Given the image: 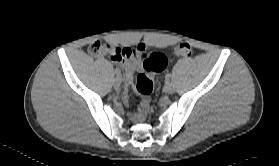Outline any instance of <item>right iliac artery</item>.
Here are the masks:
<instances>
[{"label":"right iliac artery","mask_w":279,"mask_h":166,"mask_svg":"<svg viewBox=\"0 0 279 166\" xmlns=\"http://www.w3.org/2000/svg\"><path fill=\"white\" fill-rule=\"evenodd\" d=\"M115 74H116L117 76H120V75H121V72H120V70H119L118 68L115 69Z\"/></svg>","instance_id":"82829eb1"}]
</instances>
